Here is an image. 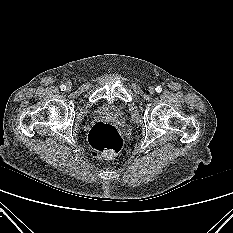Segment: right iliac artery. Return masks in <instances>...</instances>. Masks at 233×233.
Wrapping results in <instances>:
<instances>
[{"label": "right iliac artery", "mask_w": 233, "mask_h": 233, "mask_svg": "<svg viewBox=\"0 0 233 233\" xmlns=\"http://www.w3.org/2000/svg\"><path fill=\"white\" fill-rule=\"evenodd\" d=\"M60 89H61L62 91H65V90H66V86H65L64 84H62V85L60 86Z\"/></svg>", "instance_id": "82829eb1"}]
</instances>
